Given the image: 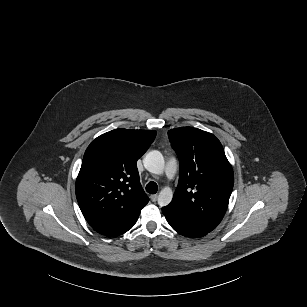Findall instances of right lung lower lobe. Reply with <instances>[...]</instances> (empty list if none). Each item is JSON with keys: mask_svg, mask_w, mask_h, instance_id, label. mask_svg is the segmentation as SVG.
Segmentation results:
<instances>
[{"mask_svg": "<svg viewBox=\"0 0 307 307\" xmlns=\"http://www.w3.org/2000/svg\"><path fill=\"white\" fill-rule=\"evenodd\" d=\"M140 214V213H139ZM139 214L136 215L131 221H129L125 226L121 227L120 229L116 230L115 232H113L112 234L108 235V236H119L123 233H125L126 231H128L130 228L133 227V225L136 223Z\"/></svg>", "mask_w": 307, "mask_h": 307, "instance_id": "1", "label": "right lung lower lobe"}]
</instances>
